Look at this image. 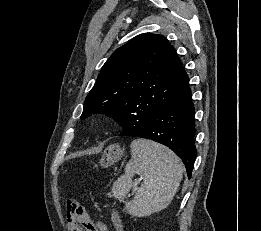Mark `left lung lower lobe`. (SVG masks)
Returning <instances> with one entry per match:
<instances>
[{
    "label": "left lung lower lobe",
    "mask_w": 261,
    "mask_h": 231,
    "mask_svg": "<svg viewBox=\"0 0 261 231\" xmlns=\"http://www.w3.org/2000/svg\"><path fill=\"white\" fill-rule=\"evenodd\" d=\"M189 84L157 110L142 129H127L120 136H133L154 140L169 147L183 161L191 177L196 158L195 110Z\"/></svg>",
    "instance_id": "1"
}]
</instances>
